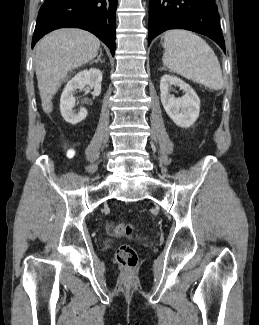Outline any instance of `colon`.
<instances>
[{"mask_svg":"<svg viewBox=\"0 0 259 325\" xmlns=\"http://www.w3.org/2000/svg\"><path fill=\"white\" fill-rule=\"evenodd\" d=\"M68 155L72 156L73 151H69ZM109 231L114 237H126L133 233V226L129 223H117L112 225ZM116 260L122 267L132 269L137 265L138 256L131 245L123 244L117 248Z\"/></svg>","mask_w":259,"mask_h":325,"instance_id":"obj_1","label":"colon"}]
</instances>
